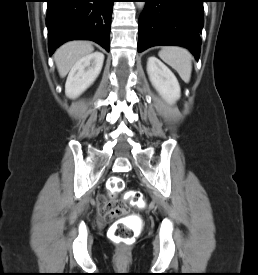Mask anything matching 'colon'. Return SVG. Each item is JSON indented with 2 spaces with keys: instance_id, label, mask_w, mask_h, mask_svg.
<instances>
[{
  "instance_id": "obj_1",
  "label": "colon",
  "mask_w": 258,
  "mask_h": 275,
  "mask_svg": "<svg viewBox=\"0 0 258 275\" xmlns=\"http://www.w3.org/2000/svg\"><path fill=\"white\" fill-rule=\"evenodd\" d=\"M108 191L111 195H115L124 188V181L120 177H112L107 184ZM125 200L134 206L140 208L145 207L146 200L141 192L129 191L125 195ZM125 207L108 206L103 212L102 216L106 219H112L117 214H125ZM108 236L111 240L125 244H131L134 240L133 230L126 226L121 220H117L108 230Z\"/></svg>"
}]
</instances>
